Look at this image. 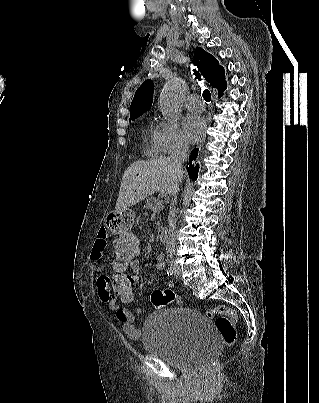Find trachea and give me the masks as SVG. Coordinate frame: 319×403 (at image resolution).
<instances>
[{"label":"trachea","mask_w":319,"mask_h":403,"mask_svg":"<svg viewBox=\"0 0 319 403\" xmlns=\"http://www.w3.org/2000/svg\"><path fill=\"white\" fill-rule=\"evenodd\" d=\"M194 75L196 76V79H198L199 81H201V75H200L199 72L196 71L195 69H194ZM202 96H203V98H204V100H205L206 102H210V101H211V93H210V91H209L208 89H205V90L203 91Z\"/></svg>","instance_id":"obj_1"}]
</instances>
